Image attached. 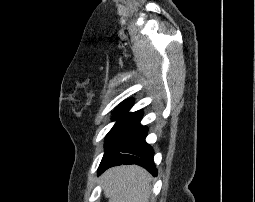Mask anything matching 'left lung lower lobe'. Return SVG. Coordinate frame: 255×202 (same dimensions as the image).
<instances>
[{"label":"left lung lower lobe","instance_id":"0a47b994","mask_svg":"<svg viewBox=\"0 0 255 202\" xmlns=\"http://www.w3.org/2000/svg\"><path fill=\"white\" fill-rule=\"evenodd\" d=\"M147 128L141 126L125 143L121 151L110 161H101L98 173L121 164H137L147 169L153 176L157 175L153 160V149L145 142Z\"/></svg>","mask_w":255,"mask_h":202}]
</instances>
